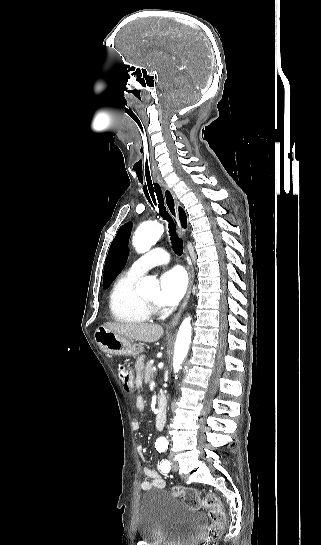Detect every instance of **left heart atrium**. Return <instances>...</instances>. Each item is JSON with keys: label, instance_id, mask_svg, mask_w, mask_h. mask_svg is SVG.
I'll return each instance as SVG.
<instances>
[{"label": "left heart atrium", "instance_id": "left-heart-atrium-1", "mask_svg": "<svg viewBox=\"0 0 321 545\" xmlns=\"http://www.w3.org/2000/svg\"><path fill=\"white\" fill-rule=\"evenodd\" d=\"M160 293L157 305L164 311L172 310L183 297L187 280L180 268L163 272L159 278Z\"/></svg>", "mask_w": 321, "mask_h": 545}]
</instances>
